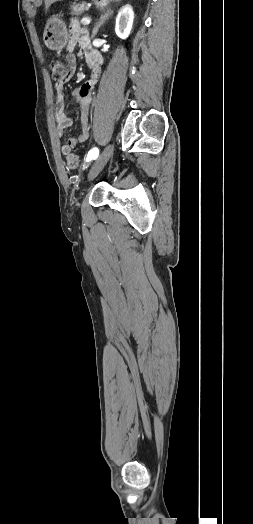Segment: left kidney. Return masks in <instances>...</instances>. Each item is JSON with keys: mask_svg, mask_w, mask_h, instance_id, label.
<instances>
[{"mask_svg": "<svg viewBox=\"0 0 253 524\" xmlns=\"http://www.w3.org/2000/svg\"><path fill=\"white\" fill-rule=\"evenodd\" d=\"M133 20L134 12L132 7L130 5L123 6L116 17L115 32L118 37L126 39L129 36Z\"/></svg>", "mask_w": 253, "mask_h": 524, "instance_id": "1", "label": "left kidney"}]
</instances>
